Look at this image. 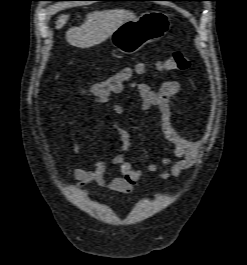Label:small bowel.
Returning a JSON list of instances; mask_svg holds the SVG:
<instances>
[{"label": "small bowel", "instance_id": "small-bowel-1", "mask_svg": "<svg viewBox=\"0 0 247 265\" xmlns=\"http://www.w3.org/2000/svg\"><path fill=\"white\" fill-rule=\"evenodd\" d=\"M133 89L141 99V110L156 109L159 113L161 131L164 138L174 146L173 155L163 158L158 163L149 164L145 170L136 169L127 160L126 154L131 146V138L128 130L121 124L116 128L122 141L121 152L108 160L93 163L90 168L75 167L72 170L73 177L79 181L78 189L84 187H102L119 192L123 195L133 193L139 180L145 173H156L165 167L168 170L158 173L160 179H168L179 176L183 171L191 168L197 161L201 143L192 141L182 136L172 122V108L170 100L182 93V86L174 80L165 81L158 89H153L149 84L140 81L130 82L123 86L121 92ZM113 111L119 115L124 113V108L119 103H111ZM75 157H79L80 144L75 142L72 146ZM115 167L120 176H109L107 170Z\"/></svg>", "mask_w": 247, "mask_h": 265}]
</instances>
